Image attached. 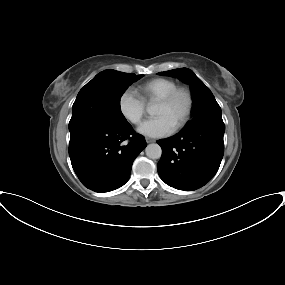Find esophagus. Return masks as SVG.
Instances as JSON below:
<instances>
[{
	"mask_svg": "<svg viewBox=\"0 0 285 285\" xmlns=\"http://www.w3.org/2000/svg\"><path fill=\"white\" fill-rule=\"evenodd\" d=\"M145 139H146V142H147V143H153V142H155L154 139L149 138V137H146Z\"/></svg>",
	"mask_w": 285,
	"mask_h": 285,
	"instance_id": "esophagus-1",
	"label": "esophagus"
}]
</instances>
